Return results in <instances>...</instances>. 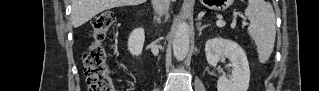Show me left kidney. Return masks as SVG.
I'll return each instance as SVG.
<instances>
[{"mask_svg":"<svg viewBox=\"0 0 319 91\" xmlns=\"http://www.w3.org/2000/svg\"><path fill=\"white\" fill-rule=\"evenodd\" d=\"M205 55L211 66H216L222 57L232 63V75L229 79L224 75L219 77L218 91H247L250 81L249 63L239 44L220 37L209 39L205 44Z\"/></svg>","mask_w":319,"mask_h":91,"instance_id":"1","label":"left kidney"}]
</instances>
